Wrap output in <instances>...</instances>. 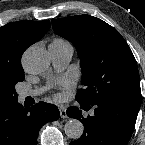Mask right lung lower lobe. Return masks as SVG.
Segmentation results:
<instances>
[{"instance_id": "1", "label": "right lung lower lobe", "mask_w": 145, "mask_h": 145, "mask_svg": "<svg viewBox=\"0 0 145 145\" xmlns=\"http://www.w3.org/2000/svg\"><path fill=\"white\" fill-rule=\"evenodd\" d=\"M58 108L39 102L23 108L16 101L0 102V145H37L38 132L48 121L59 119Z\"/></svg>"}]
</instances>
